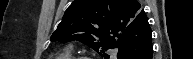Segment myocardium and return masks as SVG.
<instances>
[{
  "label": "myocardium",
  "mask_w": 193,
  "mask_h": 59,
  "mask_svg": "<svg viewBox=\"0 0 193 59\" xmlns=\"http://www.w3.org/2000/svg\"><path fill=\"white\" fill-rule=\"evenodd\" d=\"M71 59H92V58L86 57V56H80V57L71 58Z\"/></svg>",
  "instance_id": "1"
}]
</instances>
